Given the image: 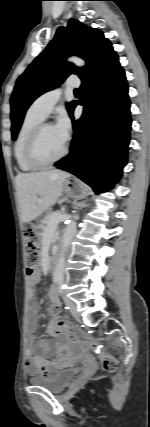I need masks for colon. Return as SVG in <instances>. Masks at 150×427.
Masks as SVG:
<instances>
[{"instance_id":"colon-1","label":"colon","mask_w":150,"mask_h":427,"mask_svg":"<svg viewBox=\"0 0 150 427\" xmlns=\"http://www.w3.org/2000/svg\"><path fill=\"white\" fill-rule=\"evenodd\" d=\"M23 237L26 244V270L29 275H33L38 268L40 259L38 235L32 226L26 225L24 227ZM51 331L54 333L65 331L73 341L88 344L91 350L101 357L102 367L105 371L113 372L116 370L118 366L117 359L112 354L106 352L103 345L95 339H86L77 329L68 326L66 322L59 317H55Z\"/></svg>"}]
</instances>
